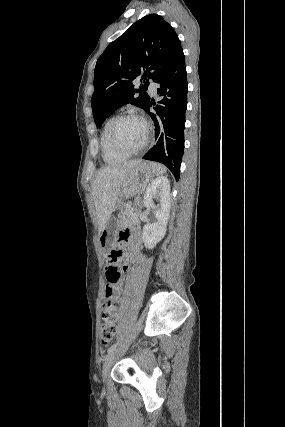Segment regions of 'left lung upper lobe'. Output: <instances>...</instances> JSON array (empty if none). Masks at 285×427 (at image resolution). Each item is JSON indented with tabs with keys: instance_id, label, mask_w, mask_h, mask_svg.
Returning <instances> with one entry per match:
<instances>
[{
	"instance_id": "obj_1",
	"label": "left lung upper lobe",
	"mask_w": 285,
	"mask_h": 427,
	"mask_svg": "<svg viewBox=\"0 0 285 427\" xmlns=\"http://www.w3.org/2000/svg\"><path fill=\"white\" fill-rule=\"evenodd\" d=\"M181 51L173 27L157 14L141 18L111 42L95 66L91 105L96 125L127 103L146 110L148 79L157 82ZM137 78L140 88L132 84Z\"/></svg>"
}]
</instances>
